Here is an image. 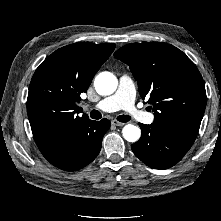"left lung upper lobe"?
Segmentation results:
<instances>
[{"mask_svg":"<svg viewBox=\"0 0 221 221\" xmlns=\"http://www.w3.org/2000/svg\"><path fill=\"white\" fill-rule=\"evenodd\" d=\"M114 56L128 64L154 122L197 134L206 107L205 85L196 65L178 48L163 42L132 43Z\"/></svg>","mask_w":221,"mask_h":221,"instance_id":"5c2ea615","label":"left lung upper lobe"}]
</instances>
